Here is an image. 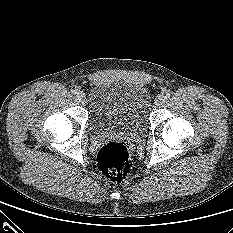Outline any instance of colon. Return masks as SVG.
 Segmentation results:
<instances>
[{"instance_id":"5ec220e1","label":"colon","mask_w":233,"mask_h":233,"mask_svg":"<svg viewBox=\"0 0 233 233\" xmlns=\"http://www.w3.org/2000/svg\"><path fill=\"white\" fill-rule=\"evenodd\" d=\"M97 167L101 174L111 181L124 179L132 169L127 147L117 141L106 143L97 155Z\"/></svg>"}]
</instances>
